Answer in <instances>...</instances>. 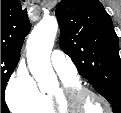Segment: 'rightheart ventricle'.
Masks as SVG:
<instances>
[{
	"instance_id": "1",
	"label": "right heart ventricle",
	"mask_w": 121,
	"mask_h": 113,
	"mask_svg": "<svg viewBox=\"0 0 121 113\" xmlns=\"http://www.w3.org/2000/svg\"><path fill=\"white\" fill-rule=\"evenodd\" d=\"M60 78L63 81L64 85L66 86L79 85V80L77 77L75 78L60 77ZM33 113H57L49 94L46 93L41 94V100Z\"/></svg>"
}]
</instances>
